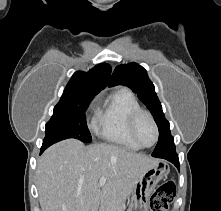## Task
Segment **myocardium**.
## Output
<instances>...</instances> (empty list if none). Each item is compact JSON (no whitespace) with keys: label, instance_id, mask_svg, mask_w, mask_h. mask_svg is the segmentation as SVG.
<instances>
[{"label":"myocardium","instance_id":"1","mask_svg":"<svg viewBox=\"0 0 221 211\" xmlns=\"http://www.w3.org/2000/svg\"><path fill=\"white\" fill-rule=\"evenodd\" d=\"M143 116H146L149 118V120L152 123L154 130H155V140L151 145L143 144L140 141L138 134H137L138 122ZM128 130H129V134H130L131 138L133 139V141L141 148L153 147L159 140V127L157 125L156 120L154 119L153 115L149 111L144 110L142 108L137 109L130 114L129 120H128Z\"/></svg>","mask_w":221,"mask_h":211}]
</instances>
